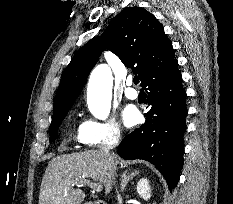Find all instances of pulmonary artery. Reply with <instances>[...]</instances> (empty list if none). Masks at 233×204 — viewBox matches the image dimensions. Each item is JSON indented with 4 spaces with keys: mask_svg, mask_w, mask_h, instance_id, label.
<instances>
[{
    "mask_svg": "<svg viewBox=\"0 0 233 204\" xmlns=\"http://www.w3.org/2000/svg\"><path fill=\"white\" fill-rule=\"evenodd\" d=\"M132 83V79H127L124 93L127 98L133 100L138 98V92L132 87Z\"/></svg>",
    "mask_w": 233,
    "mask_h": 204,
    "instance_id": "pulmonary-artery-1",
    "label": "pulmonary artery"
}]
</instances>
